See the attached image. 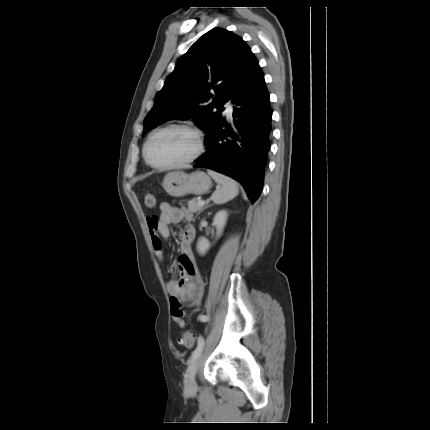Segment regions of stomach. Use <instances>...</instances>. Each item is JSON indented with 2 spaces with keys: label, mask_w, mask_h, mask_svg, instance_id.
Returning <instances> with one entry per match:
<instances>
[{
  "label": "stomach",
  "mask_w": 430,
  "mask_h": 430,
  "mask_svg": "<svg viewBox=\"0 0 430 430\" xmlns=\"http://www.w3.org/2000/svg\"><path fill=\"white\" fill-rule=\"evenodd\" d=\"M212 182L210 177L203 171L185 173L173 171L165 175L163 180L164 190L173 197H183L188 194L202 195L209 191Z\"/></svg>",
  "instance_id": "obj_1"
}]
</instances>
